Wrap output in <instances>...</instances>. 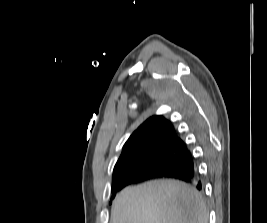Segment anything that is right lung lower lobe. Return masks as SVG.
Wrapping results in <instances>:
<instances>
[{"instance_id": "98d812e1", "label": "right lung lower lobe", "mask_w": 267, "mask_h": 223, "mask_svg": "<svg viewBox=\"0 0 267 223\" xmlns=\"http://www.w3.org/2000/svg\"><path fill=\"white\" fill-rule=\"evenodd\" d=\"M161 177L179 179L186 183L196 185L197 189L199 190L201 189V182L198 179L194 158L188 151L186 155L167 172L160 173L151 170H136L121 174L113 178V195L115 196V193L117 191L121 190L123 187L129 184Z\"/></svg>"}]
</instances>
